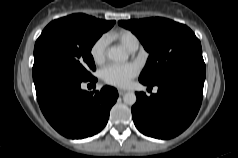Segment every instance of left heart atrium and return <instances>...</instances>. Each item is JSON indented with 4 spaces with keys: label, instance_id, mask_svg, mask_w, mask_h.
Segmentation results:
<instances>
[{
    "label": "left heart atrium",
    "instance_id": "obj_1",
    "mask_svg": "<svg viewBox=\"0 0 238 158\" xmlns=\"http://www.w3.org/2000/svg\"><path fill=\"white\" fill-rule=\"evenodd\" d=\"M139 68L134 63L107 65L102 70L103 80L112 86L126 87L130 81L138 74Z\"/></svg>",
    "mask_w": 238,
    "mask_h": 158
}]
</instances>
